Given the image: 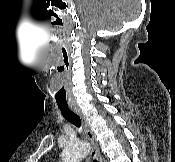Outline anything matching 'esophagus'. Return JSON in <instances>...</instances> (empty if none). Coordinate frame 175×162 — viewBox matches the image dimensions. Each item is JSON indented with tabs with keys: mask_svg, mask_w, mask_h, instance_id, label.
I'll list each match as a JSON object with an SVG mask.
<instances>
[{
	"mask_svg": "<svg viewBox=\"0 0 175 162\" xmlns=\"http://www.w3.org/2000/svg\"><path fill=\"white\" fill-rule=\"evenodd\" d=\"M71 109L74 113H76L80 117V119L82 121L84 132H85L86 137L88 138V140L91 144V157H92V159L97 160L98 162H103L101 154H100L98 142L96 140V136H95V134L92 130V127L89 124L87 118L85 117V115L83 114V112L81 111V109L79 107H71Z\"/></svg>",
	"mask_w": 175,
	"mask_h": 162,
	"instance_id": "34e87169",
	"label": "esophagus"
}]
</instances>
